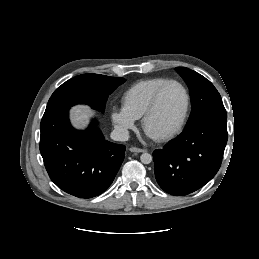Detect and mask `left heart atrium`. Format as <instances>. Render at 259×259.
I'll use <instances>...</instances> for the list:
<instances>
[{
    "label": "left heart atrium",
    "mask_w": 259,
    "mask_h": 259,
    "mask_svg": "<svg viewBox=\"0 0 259 259\" xmlns=\"http://www.w3.org/2000/svg\"><path fill=\"white\" fill-rule=\"evenodd\" d=\"M148 136L153 138V136H151L149 133H148Z\"/></svg>",
    "instance_id": "left-heart-atrium-1"
}]
</instances>
